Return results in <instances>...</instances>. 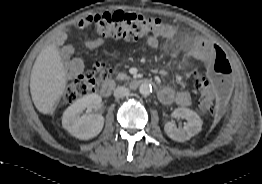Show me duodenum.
Returning <instances> with one entry per match:
<instances>
[{"label": "duodenum", "mask_w": 262, "mask_h": 184, "mask_svg": "<svg viewBox=\"0 0 262 184\" xmlns=\"http://www.w3.org/2000/svg\"><path fill=\"white\" fill-rule=\"evenodd\" d=\"M144 85H154V83L146 78L134 79L129 82V86L133 89L139 88ZM116 86V81L113 79H108L104 81L100 87V93L104 97H109Z\"/></svg>", "instance_id": "410a0bca"}]
</instances>
